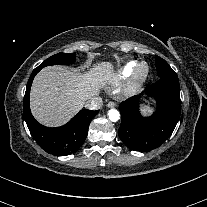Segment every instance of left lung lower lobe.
<instances>
[{"label": "left lung lower lobe", "instance_id": "1", "mask_svg": "<svg viewBox=\"0 0 207 207\" xmlns=\"http://www.w3.org/2000/svg\"><path fill=\"white\" fill-rule=\"evenodd\" d=\"M146 95L156 100V109L150 116L140 114V96L119 106L122 117L119 137L130 149L140 152L159 147L175 129L181 112L178 76L161 77L146 90Z\"/></svg>", "mask_w": 207, "mask_h": 207}]
</instances>
